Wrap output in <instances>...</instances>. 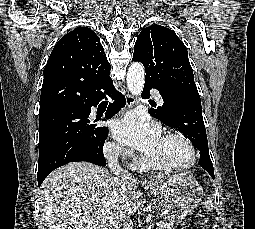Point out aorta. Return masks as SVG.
<instances>
[{
  "label": "aorta",
  "instance_id": "obj_1",
  "mask_svg": "<svg viewBox=\"0 0 255 229\" xmlns=\"http://www.w3.org/2000/svg\"><path fill=\"white\" fill-rule=\"evenodd\" d=\"M127 86L132 95H141L145 83V70L141 63H132L127 71Z\"/></svg>",
  "mask_w": 255,
  "mask_h": 229
}]
</instances>
